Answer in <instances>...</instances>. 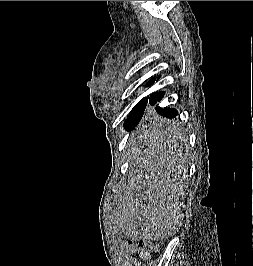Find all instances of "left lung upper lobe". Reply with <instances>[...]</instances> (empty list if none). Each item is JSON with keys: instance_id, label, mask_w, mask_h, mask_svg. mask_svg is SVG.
Instances as JSON below:
<instances>
[{"instance_id": "obj_1", "label": "left lung upper lobe", "mask_w": 253, "mask_h": 266, "mask_svg": "<svg viewBox=\"0 0 253 266\" xmlns=\"http://www.w3.org/2000/svg\"><path fill=\"white\" fill-rule=\"evenodd\" d=\"M155 78L150 80L148 85H151L153 83ZM148 98H143L138 104L135 105V107L131 110L127 120L124 123L125 127L135 126L137 125L141 118L143 117L144 110L147 105Z\"/></svg>"}]
</instances>
